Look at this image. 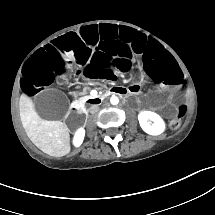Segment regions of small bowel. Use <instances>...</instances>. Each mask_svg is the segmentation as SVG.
<instances>
[{"instance_id": "c3829d8e", "label": "small bowel", "mask_w": 215, "mask_h": 215, "mask_svg": "<svg viewBox=\"0 0 215 215\" xmlns=\"http://www.w3.org/2000/svg\"><path fill=\"white\" fill-rule=\"evenodd\" d=\"M125 90L128 94H131V95L137 92L136 87L125 88Z\"/></svg>"}]
</instances>
